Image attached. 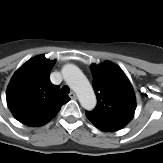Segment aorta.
<instances>
[{"mask_svg": "<svg viewBox=\"0 0 163 163\" xmlns=\"http://www.w3.org/2000/svg\"><path fill=\"white\" fill-rule=\"evenodd\" d=\"M64 80L76 92L81 106L86 110H92L96 106V96L93 88L80 71V69L72 64H67L62 68Z\"/></svg>", "mask_w": 163, "mask_h": 163, "instance_id": "obj_1", "label": "aorta"}]
</instances>
